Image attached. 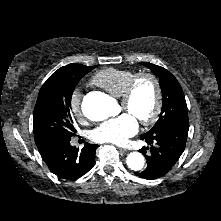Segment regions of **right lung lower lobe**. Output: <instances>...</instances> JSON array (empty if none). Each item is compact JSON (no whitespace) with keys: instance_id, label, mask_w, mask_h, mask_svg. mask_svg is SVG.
Returning <instances> with one entry per match:
<instances>
[{"instance_id":"1","label":"right lung lower lobe","mask_w":221,"mask_h":221,"mask_svg":"<svg viewBox=\"0 0 221 221\" xmlns=\"http://www.w3.org/2000/svg\"><path fill=\"white\" fill-rule=\"evenodd\" d=\"M36 145L50 171L59 178H79L93 167L95 161L97 145L87 142L81 150L70 145V138H49Z\"/></svg>"}]
</instances>
